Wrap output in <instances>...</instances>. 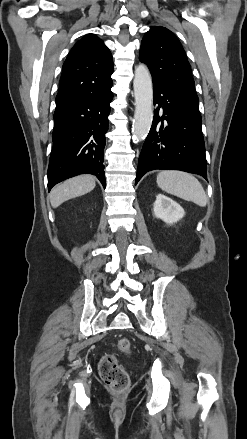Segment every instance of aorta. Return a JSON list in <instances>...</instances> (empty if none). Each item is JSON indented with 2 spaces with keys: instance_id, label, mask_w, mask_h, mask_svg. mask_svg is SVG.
Masks as SVG:
<instances>
[{
  "instance_id": "aorta-1",
  "label": "aorta",
  "mask_w": 247,
  "mask_h": 439,
  "mask_svg": "<svg viewBox=\"0 0 247 439\" xmlns=\"http://www.w3.org/2000/svg\"><path fill=\"white\" fill-rule=\"evenodd\" d=\"M135 113L132 126L133 141L139 142L148 135L153 121V87L148 68L140 64L134 73Z\"/></svg>"
}]
</instances>
